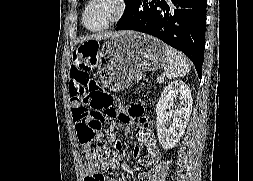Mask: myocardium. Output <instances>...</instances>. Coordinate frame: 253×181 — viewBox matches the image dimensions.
Masks as SVG:
<instances>
[{
	"label": "myocardium",
	"instance_id": "1",
	"mask_svg": "<svg viewBox=\"0 0 253 181\" xmlns=\"http://www.w3.org/2000/svg\"><path fill=\"white\" fill-rule=\"evenodd\" d=\"M96 0H87L85 3L83 10H82V15H81V22L84 28H86L88 31L91 32H100L104 31L106 29H109L113 26H115L117 23H119L127 14L128 9H129V1L128 0H115L116 2V10L110 20L104 24L103 26L99 28H90L87 26L85 18H86V13L90 5L95 2Z\"/></svg>",
	"mask_w": 253,
	"mask_h": 181
}]
</instances>
